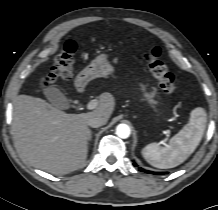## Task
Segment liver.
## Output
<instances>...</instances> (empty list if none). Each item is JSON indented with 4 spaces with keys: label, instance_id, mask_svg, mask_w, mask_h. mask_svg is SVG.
<instances>
[{
    "label": "liver",
    "instance_id": "1",
    "mask_svg": "<svg viewBox=\"0 0 218 210\" xmlns=\"http://www.w3.org/2000/svg\"><path fill=\"white\" fill-rule=\"evenodd\" d=\"M114 106L113 96L103 93L95 110L67 114L41 98L19 95L12 113L14 136L35 167L56 175L67 174L86 162L91 133L89 118L100 116L108 121Z\"/></svg>",
    "mask_w": 218,
    "mask_h": 210
}]
</instances>
